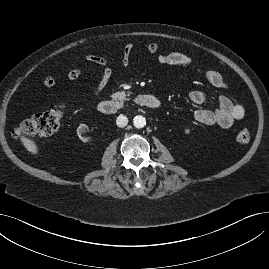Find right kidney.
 <instances>
[{
	"mask_svg": "<svg viewBox=\"0 0 269 269\" xmlns=\"http://www.w3.org/2000/svg\"><path fill=\"white\" fill-rule=\"evenodd\" d=\"M87 130H88V127L86 124H80V126L77 128V134L82 141L86 143H93L94 142L93 138H86L82 136L84 133L87 132Z\"/></svg>",
	"mask_w": 269,
	"mask_h": 269,
	"instance_id": "1",
	"label": "right kidney"
}]
</instances>
